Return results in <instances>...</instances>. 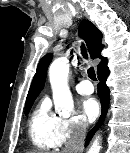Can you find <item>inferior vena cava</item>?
Listing matches in <instances>:
<instances>
[{"instance_id": "inferior-vena-cava-1", "label": "inferior vena cava", "mask_w": 130, "mask_h": 153, "mask_svg": "<svg viewBox=\"0 0 130 153\" xmlns=\"http://www.w3.org/2000/svg\"><path fill=\"white\" fill-rule=\"evenodd\" d=\"M86 131V124L84 122H79L65 143L62 153H81L84 147Z\"/></svg>"}]
</instances>
